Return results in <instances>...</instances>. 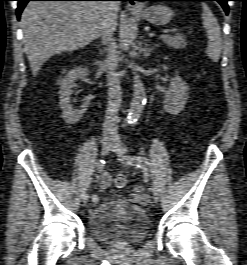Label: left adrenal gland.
Masks as SVG:
<instances>
[{"label":"left adrenal gland","mask_w":247,"mask_h":265,"mask_svg":"<svg viewBox=\"0 0 247 265\" xmlns=\"http://www.w3.org/2000/svg\"><path fill=\"white\" fill-rule=\"evenodd\" d=\"M153 50H154V47H148V44L145 40L144 48H143V55L147 58L148 56H150V53Z\"/></svg>","instance_id":"a2214340"}]
</instances>
